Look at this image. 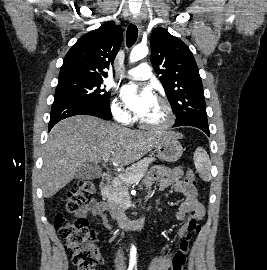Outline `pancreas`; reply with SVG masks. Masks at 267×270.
Returning a JSON list of instances; mask_svg holds the SVG:
<instances>
[{
    "mask_svg": "<svg viewBox=\"0 0 267 270\" xmlns=\"http://www.w3.org/2000/svg\"><path fill=\"white\" fill-rule=\"evenodd\" d=\"M154 160L153 157L144 158L127 168L120 177L112 181L109 188H107L106 192L103 194V197L107 199L110 204H119L128 201V188L130 184L125 182L122 178H133L139 182L147 172L149 164Z\"/></svg>",
    "mask_w": 267,
    "mask_h": 270,
    "instance_id": "pancreas-1",
    "label": "pancreas"
}]
</instances>
